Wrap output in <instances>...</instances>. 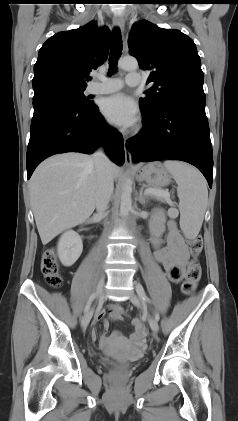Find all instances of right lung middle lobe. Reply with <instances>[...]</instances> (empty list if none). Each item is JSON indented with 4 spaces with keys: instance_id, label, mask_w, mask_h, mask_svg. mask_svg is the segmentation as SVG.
<instances>
[{
    "instance_id": "obj_1",
    "label": "right lung middle lobe",
    "mask_w": 238,
    "mask_h": 421,
    "mask_svg": "<svg viewBox=\"0 0 238 421\" xmlns=\"http://www.w3.org/2000/svg\"><path fill=\"white\" fill-rule=\"evenodd\" d=\"M34 93L43 91V90H52L58 93L67 95L75 100L80 105L91 108L94 106V103L87 98L83 91L86 87L62 84V83H46L38 86H34Z\"/></svg>"
}]
</instances>
